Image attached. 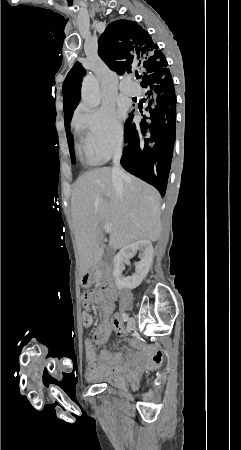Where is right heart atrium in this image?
<instances>
[{
  "mask_svg": "<svg viewBox=\"0 0 241 450\" xmlns=\"http://www.w3.org/2000/svg\"><path fill=\"white\" fill-rule=\"evenodd\" d=\"M74 128L85 130L84 155L107 160L119 152L124 130L112 107L100 106L90 116H75Z\"/></svg>",
  "mask_w": 241,
  "mask_h": 450,
  "instance_id": "obj_1",
  "label": "right heart atrium"
}]
</instances>
